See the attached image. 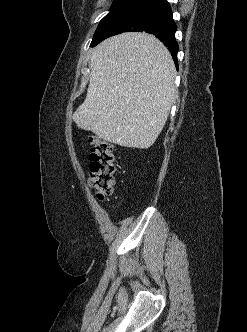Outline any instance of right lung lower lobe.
Here are the masks:
<instances>
[{"instance_id": "obj_1", "label": "right lung lower lobe", "mask_w": 247, "mask_h": 332, "mask_svg": "<svg viewBox=\"0 0 247 332\" xmlns=\"http://www.w3.org/2000/svg\"><path fill=\"white\" fill-rule=\"evenodd\" d=\"M176 30L177 26L172 18L171 7L167 0H151L111 24L101 34L97 44L122 32L144 31L155 35L168 47L178 68L177 52L179 46L175 40Z\"/></svg>"}]
</instances>
